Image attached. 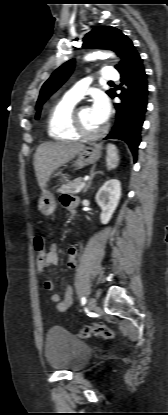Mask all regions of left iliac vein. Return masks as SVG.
<instances>
[{
    "mask_svg": "<svg viewBox=\"0 0 168 415\" xmlns=\"http://www.w3.org/2000/svg\"><path fill=\"white\" fill-rule=\"evenodd\" d=\"M95 307H96V299H95V298H93V297H91V298L88 300V309H89L90 311H93V310L95 309Z\"/></svg>",
    "mask_w": 168,
    "mask_h": 415,
    "instance_id": "left-iliac-vein-1",
    "label": "left iliac vein"
}]
</instances>
